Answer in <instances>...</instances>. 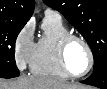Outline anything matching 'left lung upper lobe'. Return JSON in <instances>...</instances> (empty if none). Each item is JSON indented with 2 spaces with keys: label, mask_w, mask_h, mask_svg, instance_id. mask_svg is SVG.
Segmentation results:
<instances>
[{
  "label": "left lung upper lobe",
  "mask_w": 107,
  "mask_h": 89,
  "mask_svg": "<svg viewBox=\"0 0 107 89\" xmlns=\"http://www.w3.org/2000/svg\"><path fill=\"white\" fill-rule=\"evenodd\" d=\"M81 33L94 56L95 71L107 61V0H44Z\"/></svg>",
  "instance_id": "5c2ea615"
}]
</instances>
